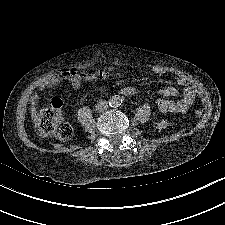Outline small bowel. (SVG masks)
Here are the masks:
<instances>
[{
    "mask_svg": "<svg viewBox=\"0 0 225 225\" xmlns=\"http://www.w3.org/2000/svg\"><path fill=\"white\" fill-rule=\"evenodd\" d=\"M156 73H163L164 70L161 68L155 69ZM94 79V76L91 74H76L71 73L68 76V81L73 87H79L83 81H89ZM61 81L59 75H52L46 79H44L37 87L36 91H34L30 97V103L35 106L38 104L40 100L39 92L45 88H50L57 85ZM180 86L185 87L183 96L180 100L174 102L164 98H159L157 100V107L161 112H183L188 107L191 99L193 98V91L187 85V81L184 77H179L177 80ZM121 94L125 96H130L136 94L137 90L132 86L123 87L120 90ZM162 96H175L177 94V90L174 87H165L161 90Z\"/></svg>",
    "mask_w": 225,
    "mask_h": 225,
    "instance_id": "obj_1",
    "label": "small bowel"
}]
</instances>
